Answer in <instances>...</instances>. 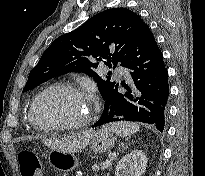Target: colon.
I'll list each match as a JSON object with an SVG mask.
<instances>
[{
    "label": "colon",
    "mask_w": 205,
    "mask_h": 176,
    "mask_svg": "<svg viewBox=\"0 0 205 176\" xmlns=\"http://www.w3.org/2000/svg\"><path fill=\"white\" fill-rule=\"evenodd\" d=\"M21 176H44L41 159L32 151L23 150L17 155Z\"/></svg>",
    "instance_id": "colon-1"
}]
</instances>
